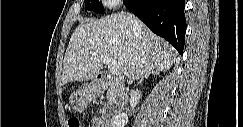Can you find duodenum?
I'll return each mask as SVG.
<instances>
[{"label":"duodenum","mask_w":243,"mask_h":127,"mask_svg":"<svg viewBox=\"0 0 243 127\" xmlns=\"http://www.w3.org/2000/svg\"><path fill=\"white\" fill-rule=\"evenodd\" d=\"M96 89H109L112 93V106L113 109L111 111V117H113L116 113H118L121 109V106L126 101V96L124 93V89L120 83V81L107 73H100L95 78ZM101 126H105L103 118L100 119Z\"/></svg>","instance_id":"duodenum-1"}]
</instances>
